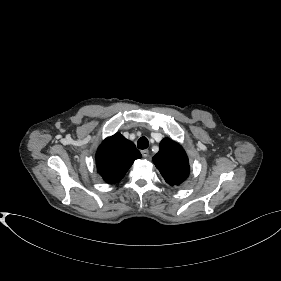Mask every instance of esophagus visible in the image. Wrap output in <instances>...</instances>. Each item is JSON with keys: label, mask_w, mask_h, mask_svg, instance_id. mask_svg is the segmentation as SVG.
I'll list each match as a JSON object with an SVG mask.
<instances>
[{"label": "esophagus", "mask_w": 281, "mask_h": 281, "mask_svg": "<svg viewBox=\"0 0 281 281\" xmlns=\"http://www.w3.org/2000/svg\"><path fill=\"white\" fill-rule=\"evenodd\" d=\"M141 154H142V156H143L144 158H146V157H148V155H149V151H148L147 149L141 150Z\"/></svg>", "instance_id": "esophagus-1"}]
</instances>
